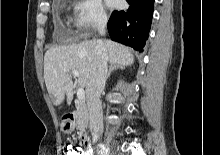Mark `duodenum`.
Segmentation results:
<instances>
[{
  "mask_svg": "<svg viewBox=\"0 0 220 155\" xmlns=\"http://www.w3.org/2000/svg\"><path fill=\"white\" fill-rule=\"evenodd\" d=\"M73 117H74V115H73V113H67L66 115H65V120L66 121H68V122H70V121H72L73 120ZM85 140L87 141V145L85 146V152L87 153L86 155H92V149H91V146H90V144H89V138L88 137H85Z\"/></svg>",
  "mask_w": 220,
  "mask_h": 155,
  "instance_id": "1",
  "label": "duodenum"
}]
</instances>
